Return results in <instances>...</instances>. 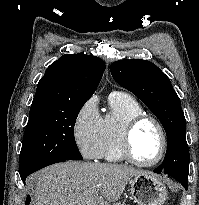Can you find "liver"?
Returning a JSON list of instances; mask_svg holds the SVG:
<instances>
[{
    "mask_svg": "<svg viewBox=\"0 0 199 205\" xmlns=\"http://www.w3.org/2000/svg\"><path fill=\"white\" fill-rule=\"evenodd\" d=\"M142 173L119 164L67 161L35 173L28 185L34 182L36 205H109L120 198L134 176Z\"/></svg>",
    "mask_w": 199,
    "mask_h": 205,
    "instance_id": "obj_1",
    "label": "liver"
}]
</instances>
